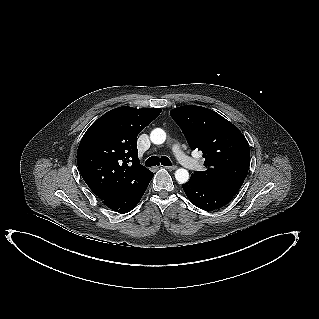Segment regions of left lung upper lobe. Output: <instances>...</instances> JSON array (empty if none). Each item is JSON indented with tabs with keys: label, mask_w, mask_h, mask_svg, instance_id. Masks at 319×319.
I'll list each match as a JSON object with an SVG mask.
<instances>
[{
	"label": "left lung upper lobe",
	"mask_w": 319,
	"mask_h": 319,
	"mask_svg": "<svg viewBox=\"0 0 319 319\" xmlns=\"http://www.w3.org/2000/svg\"><path fill=\"white\" fill-rule=\"evenodd\" d=\"M190 147L202 151L206 170L191 177L232 195L242 186L249 169V144L240 130L208 108L187 105L172 109Z\"/></svg>",
	"instance_id": "5c2ea615"
}]
</instances>
